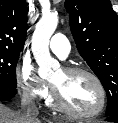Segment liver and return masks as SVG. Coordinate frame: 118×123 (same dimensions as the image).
I'll use <instances>...</instances> for the list:
<instances>
[{
    "label": "liver",
    "mask_w": 118,
    "mask_h": 123,
    "mask_svg": "<svg viewBox=\"0 0 118 123\" xmlns=\"http://www.w3.org/2000/svg\"><path fill=\"white\" fill-rule=\"evenodd\" d=\"M0 123H28L20 112H16L0 103ZM31 123H40L37 119Z\"/></svg>",
    "instance_id": "obj_1"
}]
</instances>
